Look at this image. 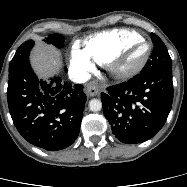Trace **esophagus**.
<instances>
[{"mask_svg": "<svg viewBox=\"0 0 187 187\" xmlns=\"http://www.w3.org/2000/svg\"><path fill=\"white\" fill-rule=\"evenodd\" d=\"M85 92L88 96L94 97L99 93V89L93 84H87L85 87Z\"/></svg>", "mask_w": 187, "mask_h": 187, "instance_id": "1", "label": "esophagus"}]
</instances>
